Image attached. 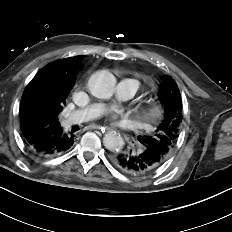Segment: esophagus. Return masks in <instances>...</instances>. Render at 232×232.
<instances>
[{"instance_id": "esophagus-1", "label": "esophagus", "mask_w": 232, "mask_h": 232, "mask_svg": "<svg viewBox=\"0 0 232 232\" xmlns=\"http://www.w3.org/2000/svg\"><path fill=\"white\" fill-rule=\"evenodd\" d=\"M92 128L100 130L102 133H105L108 130L106 127L99 126V125H93Z\"/></svg>"}]
</instances>
